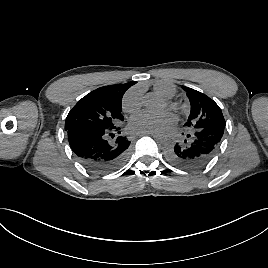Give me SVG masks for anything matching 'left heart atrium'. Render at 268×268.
I'll return each mask as SVG.
<instances>
[{
  "instance_id": "obj_1",
  "label": "left heart atrium",
  "mask_w": 268,
  "mask_h": 268,
  "mask_svg": "<svg viewBox=\"0 0 268 268\" xmlns=\"http://www.w3.org/2000/svg\"><path fill=\"white\" fill-rule=\"evenodd\" d=\"M176 122V116L170 112L165 111L159 117L150 119L145 113H138L130 118V127L133 130H151L154 125L168 126Z\"/></svg>"
}]
</instances>
